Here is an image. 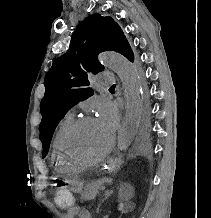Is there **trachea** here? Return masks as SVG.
<instances>
[{"instance_id":"3493384b","label":"trachea","mask_w":211,"mask_h":218,"mask_svg":"<svg viewBox=\"0 0 211 218\" xmlns=\"http://www.w3.org/2000/svg\"><path fill=\"white\" fill-rule=\"evenodd\" d=\"M115 86H116V85H112V87H110V88H115Z\"/></svg>"}]
</instances>
